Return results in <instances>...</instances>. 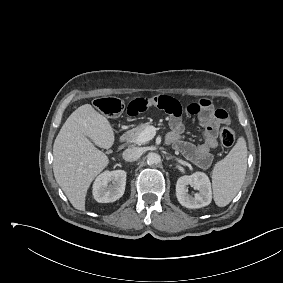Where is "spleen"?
I'll return each mask as SVG.
<instances>
[{
  "label": "spleen",
  "instance_id": "obj_1",
  "mask_svg": "<svg viewBox=\"0 0 283 283\" xmlns=\"http://www.w3.org/2000/svg\"><path fill=\"white\" fill-rule=\"evenodd\" d=\"M247 170V146L243 137L212 171L213 198L217 206L228 205L240 190Z\"/></svg>",
  "mask_w": 283,
  "mask_h": 283
}]
</instances>
